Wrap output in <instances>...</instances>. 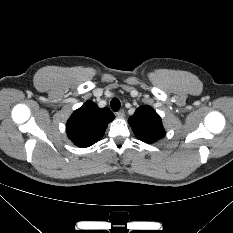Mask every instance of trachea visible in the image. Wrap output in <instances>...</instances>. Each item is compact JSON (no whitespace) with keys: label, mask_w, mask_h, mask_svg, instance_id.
<instances>
[{"label":"trachea","mask_w":233,"mask_h":233,"mask_svg":"<svg viewBox=\"0 0 233 233\" xmlns=\"http://www.w3.org/2000/svg\"><path fill=\"white\" fill-rule=\"evenodd\" d=\"M120 107H121L120 101L117 98H113L111 100V108H112V110L117 112V111H119Z\"/></svg>","instance_id":"obj_1"}]
</instances>
